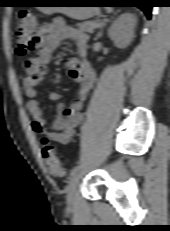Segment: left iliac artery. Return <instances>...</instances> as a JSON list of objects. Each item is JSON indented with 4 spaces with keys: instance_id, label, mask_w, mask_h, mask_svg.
Masks as SVG:
<instances>
[{
    "instance_id": "1",
    "label": "left iliac artery",
    "mask_w": 170,
    "mask_h": 231,
    "mask_svg": "<svg viewBox=\"0 0 170 231\" xmlns=\"http://www.w3.org/2000/svg\"><path fill=\"white\" fill-rule=\"evenodd\" d=\"M79 168H80L79 165L73 167V168L71 169L70 175H71V176L75 175V174L77 173V171L79 170Z\"/></svg>"
}]
</instances>
